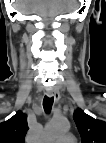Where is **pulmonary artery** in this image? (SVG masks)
<instances>
[{"label":"pulmonary artery","instance_id":"obj_1","mask_svg":"<svg viewBox=\"0 0 106 143\" xmlns=\"http://www.w3.org/2000/svg\"><path fill=\"white\" fill-rule=\"evenodd\" d=\"M62 140L66 142H72L74 140V137L72 135H66L62 138Z\"/></svg>","mask_w":106,"mask_h":143}]
</instances>
